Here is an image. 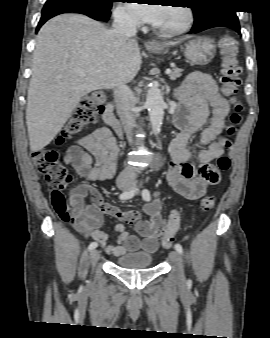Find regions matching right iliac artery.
<instances>
[{"instance_id": "obj_1", "label": "right iliac artery", "mask_w": 270, "mask_h": 338, "mask_svg": "<svg viewBox=\"0 0 270 338\" xmlns=\"http://www.w3.org/2000/svg\"><path fill=\"white\" fill-rule=\"evenodd\" d=\"M136 191H137L136 188H134V189H132V190H129V191H125V192H123V193L120 195L119 198H120L121 200L131 199V198L135 195ZM97 246H98L97 242H91V243L89 244V247H88V248H89V250H93V249H95Z\"/></svg>"}]
</instances>
